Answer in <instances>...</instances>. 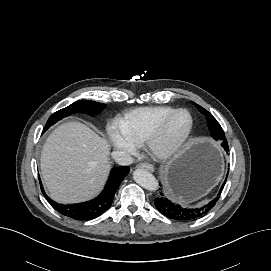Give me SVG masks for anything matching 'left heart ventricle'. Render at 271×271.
<instances>
[{
	"instance_id": "1",
	"label": "left heart ventricle",
	"mask_w": 271,
	"mask_h": 271,
	"mask_svg": "<svg viewBox=\"0 0 271 271\" xmlns=\"http://www.w3.org/2000/svg\"><path fill=\"white\" fill-rule=\"evenodd\" d=\"M190 118L186 113L178 114L172 121L166 139L169 142L180 139L188 130Z\"/></svg>"
}]
</instances>
